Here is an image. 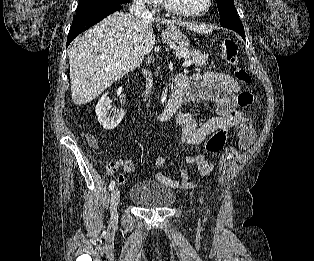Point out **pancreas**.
<instances>
[{
  "instance_id": "pancreas-1",
  "label": "pancreas",
  "mask_w": 314,
  "mask_h": 261,
  "mask_svg": "<svg viewBox=\"0 0 314 261\" xmlns=\"http://www.w3.org/2000/svg\"><path fill=\"white\" fill-rule=\"evenodd\" d=\"M176 55L178 57H191L196 67H203L209 63L208 55L197 50L178 48Z\"/></svg>"
}]
</instances>
